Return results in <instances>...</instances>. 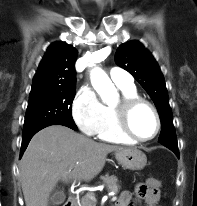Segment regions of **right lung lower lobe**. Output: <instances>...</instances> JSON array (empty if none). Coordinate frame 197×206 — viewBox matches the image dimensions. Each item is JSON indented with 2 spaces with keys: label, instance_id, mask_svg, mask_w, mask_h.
I'll return each mask as SVG.
<instances>
[{
  "label": "right lung lower lobe",
  "instance_id": "right-lung-lower-lobe-1",
  "mask_svg": "<svg viewBox=\"0 0 197 206\" xmlns=\"http://www.w3.org/2000/svg\"><path fill=\"white\" fill-rule=\"evenodd\" d=\"M53 125H56V124H53ZM57 125H62V124H57ZM47 126H50V125H45V126H42L38 129H35V130H32L26 134H23V137H22V146H21V151H20V157L23 155L24 151L26 150L31 138L38 132L40 131L41 129L47 127ZM63 126H67L73 130H77V128H73L71 126H68V125H63Z\"/></svg>",
  "mask_w": 197,
  "mask_h": 206
}]
</instances>
